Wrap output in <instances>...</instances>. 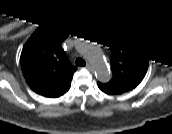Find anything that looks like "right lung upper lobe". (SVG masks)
<instances>
[{"mask_svg": "<svg viewBox=\"0 0 172 134\" xmlns=\"http://www.w3.org/2000/svg\"><path fill=\"white\" fill-rule=\"evenodd\" d=\"M70 30L57 23L42 24L25 43L21 68L30 88L45 97L57 98L71 85L76 67L61 47Z\"/></svg>", "mask_w": 172, "mask_h": 134, "instance_id": "obj_1", "label": "right lung upper lobe"}]
</instances>
